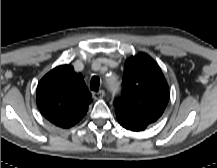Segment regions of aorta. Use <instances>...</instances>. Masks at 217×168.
I'll return each mask as SVG.
<instances>
[{"label": "aorta", "mask_w": 217, "mask_h": 168, "mask_svg": "<svg viewBox=\"0 0 217 168\" xmlns=\"http://www.w3.org/2000/svg\"><path fill=\"white\" fill-rule=\"evenodd\" d=\"M108 87H109L110 91L116 92V90H117V83H116V81H114V82H108Z\"/></svg>", "instance_id": "obj_1"}]
</instances>
